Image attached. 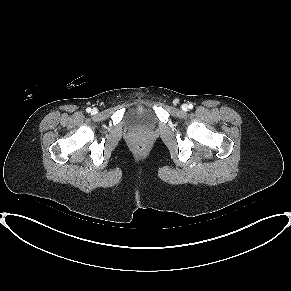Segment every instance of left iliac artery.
Returning <instances> with one entry per match:
<instances>
[{
    "label": "left iliac artery",
    "mask_w": 291,
    "mask_h": 291,
    "mask_svg": "<svg viewBox=\"0 0 291 291\" xmlns=\"http://www.w3.org/2000/svg\"><path fill=\"white\" fill-rule=\"evenodd\" d=\"M188 107H189V109H192L193 108V105L192 104H189Z\"/></svg>",
    "instance_id": "left-iliac-artery-1"
}]
</instances>
